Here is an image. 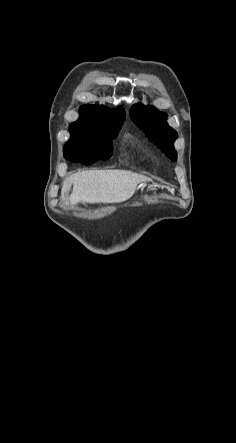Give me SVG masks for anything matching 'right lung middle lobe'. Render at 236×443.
I'll list each match as a JSON object with an SVG mask.
<instances>
[{
	"instance_id": "1",
	"label": "right lung middle lobe",
	"mask_w": 236,
	"mask_h": 443,
	"mask_svg": "<svg viewBox=\"0 0 236 443\" xmlns=\"http://www.w3.org/2000/svg\"><path fill=\"white\" fill-rule=\"evenodd\" d=\"M123 121L102 118H79L70 127V139L64 148L93 146L113 150L112 140L116 138Z\"/></svg>"
}]
</instances>
